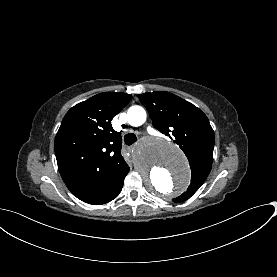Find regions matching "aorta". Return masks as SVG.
I'll use <instances>...</instances> for the list:
<instances>
[{
	"mask_svg": "<svg viewBox=\"0 0 277 277\" xmlns=\"http://www.w3.org/2000/svg\"><path fill=\"white\" fill-rule=\"evenodd\" d=\"M127 120L132 126H141L146 121V111L132 106ZM134 164L148 191L157 198L167 199L185 190L190 182L186 157L176 145L163 139L141 140L134 151Z\"/></svg>",
	"mask_w": 277,
	"mask_h": 277,
	"instance_id": "aorta-1",
	"label": "aorta"
}]
</instances>
